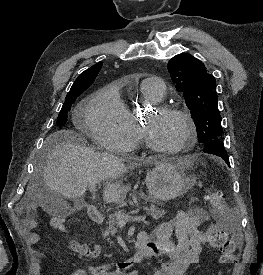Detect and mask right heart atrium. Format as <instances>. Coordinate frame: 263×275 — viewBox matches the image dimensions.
Returning a JSON list of instances; mask_svg holds the SVG:
<instances>
[{
    "mask_svg": "<svg viewBox=\"0 0 263 275\" xmlns=\"http://www.w3.org/2000/svg\"><path fill=\"white\" fill-rule=\"evenodd\" d=\"M91 137L102 147L125 152L133 145V130L125 116L124 104L113 87L99 90L85 111Z\"/></svg>",
    "mask_w": 263,
    "mask_h": 275,
    "instance_id": "d8ad5b80",
    "label": "right heart atrium"
}]
</instances>
